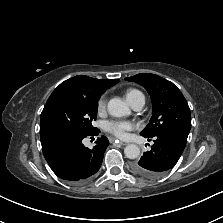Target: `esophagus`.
Returning <instances> with one entry per match:
<instances>
[{"instance_id": "34e87169", "label": "esophagus", "mask_w": 223, "mask_h": 223, "mask_svg": "<svg viewBox=\"0 0 223 223\" xmlns=\"http://www.w3.org/2000/svg\"><path fill=\"white\" fill-rule=\"evenodd\" d=\"M118 142L120 145H127V142H124V141H120V140H116L115 138H111L110 139V142Z\"/></svg>"}]
</instances>
